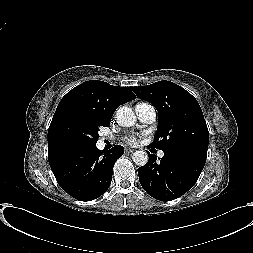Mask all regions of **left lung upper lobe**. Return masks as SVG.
<instances>
[{
	"instance_id": "obj_1",
	"label": "left lung upper lobe",
	"mask_w": 253,
	"mask_h": 253,
	"mask_svg": "<svg viewBox=\"0 0 253 253\" xmlns=\"http://www.w3.org/2000/svg\"><path fill=\"white\" fill-rule=\"evenodd\" d=\"M131 89L158 111V129L152 147L162 151L190 152L206 158L209 132L194 96L166 80Z\"/></svg>"
}]
</instances>
